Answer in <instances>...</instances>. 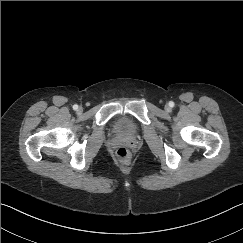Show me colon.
Masks as SVG:
<instances>
[{
    "label": "colon",
    "mask_w": 243,
    "mask_h": 243,
    "mask_svg": "<svg viewBox=\"0 0 243 243\" xmlns=\"http://www.w3.org/2000/svg\"><path fill=\"white\" fill-rule=\"evenodd\" d=\"M116 158L121 164H128L130 162L129 151L125 147H119L116 151Z\"/></svg>",
    "instance_id": "obj_1"
}]
</instances>
